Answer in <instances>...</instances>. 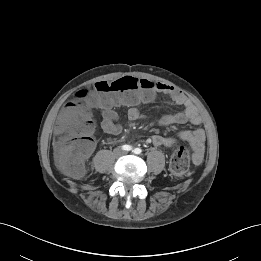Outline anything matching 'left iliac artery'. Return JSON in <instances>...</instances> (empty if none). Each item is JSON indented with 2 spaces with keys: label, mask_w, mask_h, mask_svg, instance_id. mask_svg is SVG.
I'll return each mask as SVG.
<instances>
[{
  "label": "left iliac artery",
  "mask_w": 261,
  "mask_h": 261,
  "mask_svg": "<svg viewBox=\"0 0 261 261\" xmlns=\"http://www.w3.org/2000/svg\"><path fill=\"white\" fill-rule=\"evenodd\" d=\"M133 152H134L135 154H140V153H141V149L136 148V149L133 150Z\"/></svg>",
  "instance_id": "1"
}]
</instances>
